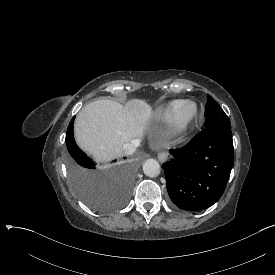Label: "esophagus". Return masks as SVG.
<instances>
[{
	"label": "esophagus",
	"mask_w": 275,
	"mask_h": 275,
	"mask_svg": "<svg viewBox=\"0 0 275 275\" xmlns=\"http://www.w3.org/2000/svg\"><path fill=\"white\" fill-rule=\"evenodd\" d=\"M143 157L145 158V157H147V154H143ZM158 159L160 160V161H166L167 160V155L166 154H164V153H160V154H158Z\"/></svg>",
	"instance_id": "34e87169"
}]
</instances>
